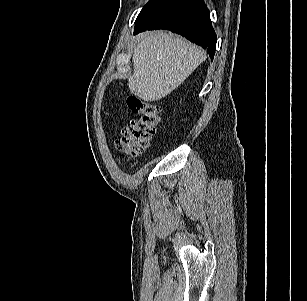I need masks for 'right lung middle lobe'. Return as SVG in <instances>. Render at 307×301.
<instances>
[{
	"mask_svg": "<svg viewBox=\"0 0 307 301\" xmlns=\"http://www.w3.org/2000/svg\"><path fill=\"white\" fill-rule=\"evenodd\" d=\"M168 0H150L141 10L135 22L139 21L140 19L144 18L161 5H163Z\"/></svg>",
	"mask_w": 307,
	"mask_h": 301,
	"instance_id": "1",
	"label": "right lung middle lobe"
}]
</instances>
